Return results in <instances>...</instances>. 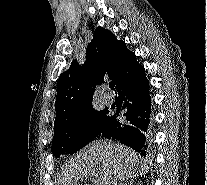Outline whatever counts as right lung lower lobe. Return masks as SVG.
<instances>
[{"label": "right lung lower lobe", "mask_w": 207, "mask_h": 185, "mask_svg": "<svg viewBox=\"0 0 207 185\" xmlns=\"http://www.w3.org/2000/svg\"><path fill=\"white\" fill-rule=\"evenodd\" d=\"M116 90L123 105L99 134L116 138L137 152L144 153L152 118L149 82L145 71L120 83Z\"/></svg>", "instance_id": "obj_1"}]
</instances>
